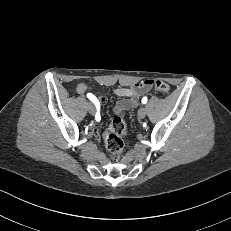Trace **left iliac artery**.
I'll list each match as a JSON object with an SVG mask.
<instances>
[{"label": "left iliac artery", "mask_w": 231, "mask_h": 231, "mask_svg": "<svg viewBox=\"0 0 231 231\" xmlns=\"http://www.w3.org/2000/svg\"><path fill=\"white\" fill-rule=\"evenodd\" d=\"M147 102V97H143L142 103L145 104Z\"/></svg>", "instance_id": "1"}]
</instances>
